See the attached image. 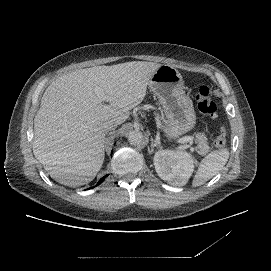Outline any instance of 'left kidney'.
I'll list each match as a JSON object with an SVG mask.
<instances>
[{
	"label": "left kidney",
	"mask_w": 271,
	"mask_h": 271,
	"mask_svg": "<svg viewBox=\"0 0 271 271\" xmlns=\"http://www.w3.org/2000/svg\"><path fill=\"white\" fill-rule=\"evenodd\" d=\"M154 166L162 180L176 186L185 185L193 170L189 154L183 155L173 151L157 152L154 156Z\"/></svg>",
	"instance_id": "obj_1"
}]
</instances>
